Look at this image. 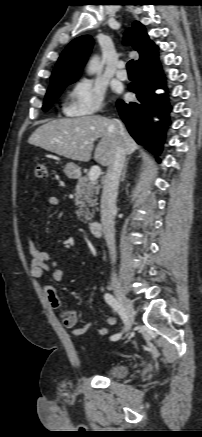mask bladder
Returning a JSON list of instances; mask_svg holds the SVG:
<instances>
[{"mask_svg": "<svg viewBox=\"0 0 202 437\" xmlns=\"http://www.w3.org/2000/svg\"><path fill=\"white\" fill-rule=\"evenodd\" d=\"M128 366L123 363H112L104 369V373L113 378H122L128 374Z\"/></svg>", "mask_w": 202, "mask_h": 437, "instance_id": "bladder-1", "label": "bladder"}]
</instances>
